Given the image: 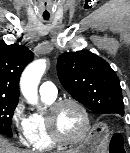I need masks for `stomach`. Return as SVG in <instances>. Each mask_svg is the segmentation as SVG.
Returning a JSON list of instances; mask_svg holds the SVG:
<instances>
[{
    "mask_svg": "<svg viewBox=\"0 0 130 153\" xmlns=\"http://www.w3.org/2000/svg\"><path fill=\"white\" fill-rule=\"evenodd\" d=\"M109 138V133L105 127L97 126L89 134L85 142L71 153H102Z\"/></svg>",
    "mask_w": 130,
    "mask_h": 153,
    "instance_id": "stomach-1",
    "label": "stomach"
}]
</instances>
